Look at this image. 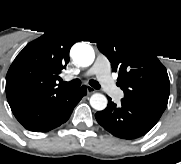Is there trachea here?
<instances>
[{"mask_svg":"<svg viewBox=\"0 0 181 164\" xmlns=\"http://www.w3.org/2000/svg\"><path fill=\"white\" fill-rule=\"evenodd\" d=\"M63 84L66 85L67 87L76 88L81 85V82L79 79H74L70 82H63ZM89 84L95 89H100L99 83L95 80H90Z\"/></svg>","mask_w":181,"mask_h":164,"instance_id":"1","label":"trachea"}]
</instances>
